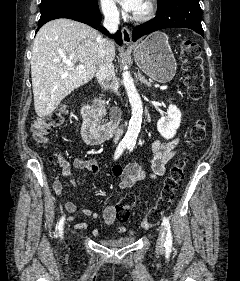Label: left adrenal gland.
Returning a JSON list of instances; mask_svg holds the SVG:
<instances>
[{
    "instance_id": "1",
    "label": "left adrenal gland",
    "mask_w": 240,
    "mask_h": 281,
    "mask_svg": "<svg viewBox=\"0 0 240 281\" xmlns=\"http://www.w3.org/2000/svg\"><path fill=\"white\" fill-rule=\"evenodd\" d=\"M138 76L139 79L141 81V83H143L144 85H146L148 88L152 86V83L150 81H148L141 73L140 71H138Z\"/></svg>"
}]
</instances>
